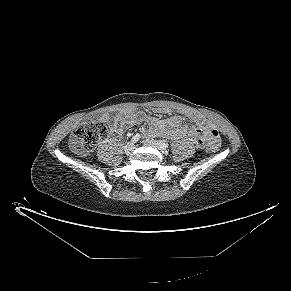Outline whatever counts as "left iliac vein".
Masks as SVG:
<instances>
[{"label":"left iliac vein","mask_w":291,"mask_h":291,"mask_svg":"<svg viewBox=\"0 0 291 291\" xmlns=\"http://www.w3.org/2000/svg\"><path fill=\"white\" fill-rule=\"evenodd\" d=\"M143 144L146 146H151L159 150L161 153L166 154L167 150L159 145V143L154 139H146L143 141Z\"/></svg>","instance_id":"4c4485c4"}]
</instances>
